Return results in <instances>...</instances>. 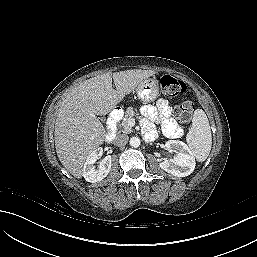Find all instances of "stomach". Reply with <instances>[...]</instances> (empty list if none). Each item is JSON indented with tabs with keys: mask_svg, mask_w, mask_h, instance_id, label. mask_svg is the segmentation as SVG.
I'll return each mask as SVG.
<instances>
[{
	"mask_svg": "<svg viewBox=\"0 0 257 257\" xmlns=\"http://www.w3.org/2000/svg\"><path fill=\"white\" fill-rule=\"evenodd\" d=\"M135 92L141 101L153 102L159 96V85L154 78H147L139 83Z\"/></svg>",
	"mask_w": 257,
	"mask_h": 257,
	"instance_id": "obj_1",
	"label": "stomach"
}]
</instances>
